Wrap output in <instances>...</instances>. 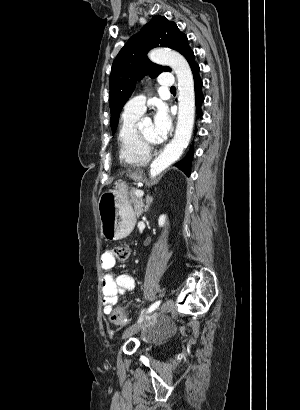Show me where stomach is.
<instances>
[{
  "mask_svg": "<svg viewBox=\"0 0 300 410\" xmlns=\"http://www.w3.org/2000/svg\"><path fill=\"white\" fill-rule=\"evenodd\" d=\"M131 177L135 180L141 179V175L138 173H133ZM98 214L101 222V234L106 240L122 239L132 231L135 225V216L124 184L119 185L118 189L110 190L100 196Z\"/></svg>",
  "mask_w": 300,
  "mask_h": 410,
  "instance_id": "0dacf381",
  "label": "stomach"
}]
</instances>
